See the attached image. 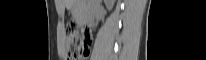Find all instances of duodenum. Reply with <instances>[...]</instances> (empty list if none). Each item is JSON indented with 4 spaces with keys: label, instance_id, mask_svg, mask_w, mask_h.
Segmentation results:
<instances>
[{
    "label": "duodenum",
    "instance_id": "duodenum-1",
    "mask_svg": "<svg viewBox=\"0 0 206 60\" xmlns=\"http://www.w3.org/2000/svg\"><path fill=\"white\" fill-rule=\"evenodd\" d=\"M87 22V21H86ZM82 27L85 29V31H88V23H83Z\"/></svg>",
    "mask_w": 206,
    "mask_h": 60
}]
</instances>
